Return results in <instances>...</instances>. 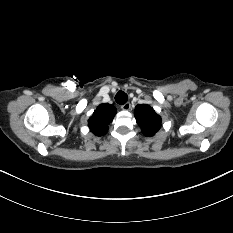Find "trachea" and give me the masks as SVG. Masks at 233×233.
<instances>
[{
    "label": "trachea",
    "instance_id": "3493384b",
    "mask_svg": "<svg viewBox=\"0 0 233 233\" xmlns=\"http://www.w3.org/2000/svg\"><path fill=\"white\" fill-rule=\"evenodd\" d=\"M115 101L123 105L128 101V95L124 91H119L115 96Z\"/></svg>",
    "mask_w": 233,
    "mask_h": 233
}]
</instances>
